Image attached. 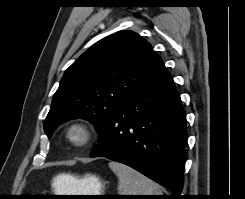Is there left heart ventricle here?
<instances>
[{
    "label": "left heart ventricle",
    "mask_w": 245,
    "mask_h": 199,
    "mask_svg": "<svg viewBox=\"0 0 245 199\" xmlns=\"http://www.w3.org/2000/svg\"><path fill=\"white\" fill-rule=\"evenodd\" d=\"M72 137L75 139V140H80L81 137H82V133L78 130H74L72 132Z\"/></svg>",
    "instance_id": "1"
}]
</instances>
